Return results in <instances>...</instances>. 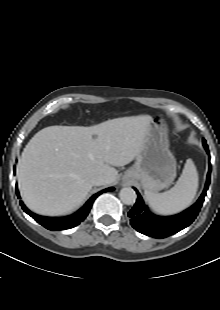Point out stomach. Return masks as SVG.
Listing matches in <instances>:
<instances>
[{
	"mask_svg": "<svg viewBox=\"0 0 220 310\" xmlns=\"http://www.w3.org/2000/svg\"><path fill=\"white\" fill-rule=\"evenodd\" d=\"M176 177V160L169 150L167 125L163 118H152L142 151L123 181H139L145 191L168 188Z\"/></svg>",
	"mask_w": 220,
	"mask_h": 310,
	"instance_id": "obj_1",
	"label": "stomach"
}]
</instances>
